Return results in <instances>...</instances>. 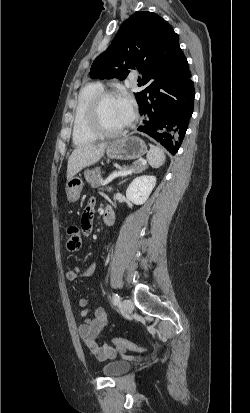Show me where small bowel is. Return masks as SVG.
<instances>
[{
  "label": "small bowel",
  "mask_w": 250,
  "mask_h": 413,
  "mask_svg": "<svg viewBox=\"0 0 250 413\" xmlns=\"http://www.w3.org/2000/svg\"><path fill=\"white\" fill-rule=\"evenodd\" d=\"M93 204L94 202L91 200L82 217V227L80 232L83 238H88L90 236L94 213ZM96 269V263H92L84 269L74 267L73 269L66 271L65 277L69 281H74L79 277L92 275ZM76 307L80 309V315L83 318V322L78 327V333L88 350L99 360L115 357L116 350L113 346H101L96 342V338L108 323V317L105 310L98 307L92 311L87 307V300L85 298H79L76 301Z\"/></svg>",
  "instance_id": "c3829d8e"
}]
</instances>
